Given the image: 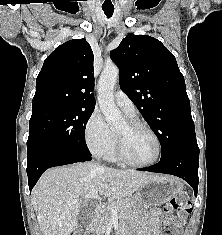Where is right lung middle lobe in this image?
<instances>
[{
  "instance_id": "right-lung-middle-lobe-1",
  "label": "right lung middle lobe",
  "mask_w": 222,
  "mask_h": 235,
  "mask_svg": "<svg viewBox=\"0 0 222 235\" xmlns=\"http://www.w3.org/2000/svg\"><path fill=\"white\" fill-rule=\"evenodd\" d=\"M94 109L53 105L32 113L27 141V165L55 152L90 154L85 127Z\"/></svg>"
}]
</instances>
